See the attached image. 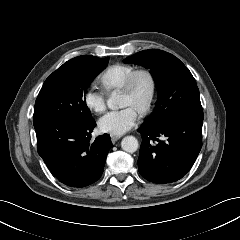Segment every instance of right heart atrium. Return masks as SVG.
Returning a JSON list of instances; mask_svg holds the SVG:
<instances>
[{
	"instance_id": "right-heart-atrium-1",
	"label": "right heart atrium",
	"mask_w": 240,
	"mask_h": 240,
	"mask_svg": "<svg viewBox=\"0 0 240 240\" xmlns=\"http://www.w3.org/2000/svg\"><path fill=\"white\" fill-rule=\"evenodd\" d=\"M85 105L93 112L100 113L106 107V99L103 91L88 89L84 94Z\"/></svg>"
}]
</instances>
